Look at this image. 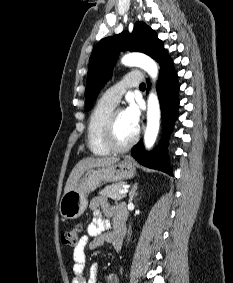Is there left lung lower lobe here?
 <instances>
[{
  "label": "left lung lower lobe",
  "instance_id": "1",
  "mask_svg": "<svg viewBox=\"0 0 233 283\" xmlns=\"http://www.w3.org/2000/svg\"><path fill=\"white\" fill-rule=\"evenodd\" d=\"M157 62L161 67L157 83V92L162 111L163 138L160 146L153 152H146L142 143H138L132 149V156L146 167L158 169L171 175L172 170L168 163V158L164 149L167 137L173 128L175 119L177 118L179 106L177 93L179 90V84L177 81V73L173 68L172 60L167 51ZM147 90H149V88Z\"/></svg>",
  "mask_w": 233,
  "mask_h": 283
}]
</instances>
